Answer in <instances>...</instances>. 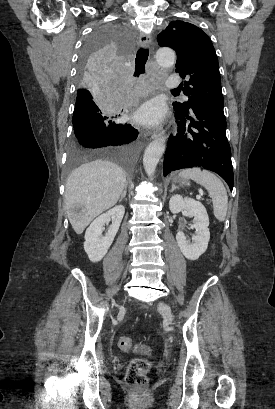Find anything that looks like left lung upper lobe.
<instances>
[{
    "instance_id": "5c2ea615",
    "label": "left lung upper lobe",
    "mask_w": 275,
    "mask_h": 409,
    "mask_svg": "<svg viewBox=\"0 0 275 409\" xmlns=\"http://www.w3.org/2000/svg\"><path fill=\"white\" fill-rule=\"evenodd\" d=\"M161 47L176 51V72L185 79L183 93L189 100L174 102L178 114H188L195 107L223 110V95L218 59L210 38L197 26L172 21L158 35Z\"/></svg>"
}]
</instances>
